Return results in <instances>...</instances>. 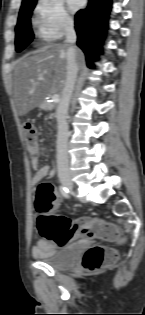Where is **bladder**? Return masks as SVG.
Returning a JSON list of instances; mask_svg holds the SVG:
<instances>
[{
  "label": "bladder",
  "instance_id": "obj_1",
  "mask_svg": "<svg viewBox=\"0 0 145 315\" xmlns=\"http://www.w3.org/2000/svg\"><path fill=\"white\" fill-rule=\"evenodd\" d=\"M71 249L79 248H64L55 252L53 255L46 257L44 262L56 270L69 269L75 264L77 259V256H71Z\"/></svg>",
  "mask_w": 145,
  "mask_h": 315
}]
</instances>
